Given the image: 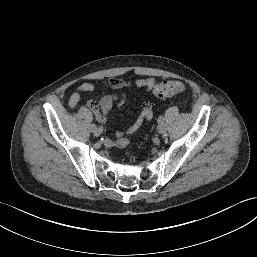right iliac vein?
Masks as SVG:
<instances>
[{"label": "right iliac vein", "mask_w": 257, "mask_h": 257, "mask_svg": "<svg viewBox=\"0 0 257 257\" xmlns=\"http://www.w3.org/2000/svg\"><path fill=\"white\" fill-rule=\"evenodd\" d=\"M93 133L95 136H100L102 133V129L101 128H96L95 130H93Z\"/></svg>", "instance_id": "right-iliac-vein-1"}]
</instances>
